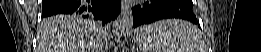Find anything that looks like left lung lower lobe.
<instances>
[{
  "label": "left lung lower lobe",
  "mask_w": 261,
  "mask_h": 52,
  "mask_svg": "<svg viewBox=\"0 0 261 52\" xmlns=\"http://www.w3.org/2000/svg\"><path fill=\"white\" fill-rule=\"evenodd\" d=\"M192 0H148L133 7V26L149 24L165 18H181L197 24Z\"/></svg>",
  "instance_id": "0a47b994"
}]
</instances>
